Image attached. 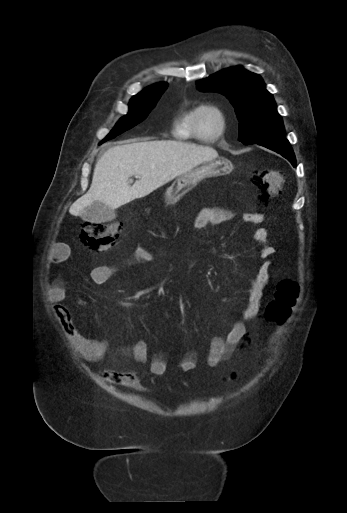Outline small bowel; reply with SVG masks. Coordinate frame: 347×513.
Returning a JSON list of instances; mask_svg holds the SVG:
<instances>
[{
	"label": "small bowel",
	"mask_w": 347,
	"mask_h": 513,
	"mask_svg": "<svg viewBox=\"0 0 347 513\" xmlns=\"http://www.w3.org/2000/svg\"><path fill=\"white\" fill-rule=\"evenodd\" d=\"M235 216L233 210L226 207H210L202 209L195 219V229L202 230L210 226L220 225L231 221ZM243 221L256 227L254 240L261 247L260 257L262 263L255 276L251 279L248 290L251 295L247 307L242 311L244 320L254 319L261 307V292L269 280V268L271 259L275 255V248L270 244L268 230L263 226L264 218L261 213H245ZM69 254L66 244L53 245L48 256V264L54 265L65 261ZM152 254L144 247L136 248L132 253L117 263L95 267L90 272V278L95 284H103L115 276L121 270L135 265L150 262ZM49 301L58 316L61 328L67 335L78 355L88 362H99L108 352V343L105 340L91 339L81 335L74 327L69 309L62 304L65 299V285L61 277L50 280L47 289ZM247 328L243 321H235L225 334L214 335L209 342L206 364L213 368L229 360L236 347L247 337ZM147 343L137 340L128 348L122 350V354L131 356L136 362L144 364L147 361ZM196 353L187 352L178 362V368L183 372H189L196 368ZM167 359L164 353L157 352L153 355L149 368L156 375H162L167 371ZM104 378L110 383L135 388L139 384L138 372L106 371Z\"/></svg>",
	"instance_id": "1"
}]
</instances>
